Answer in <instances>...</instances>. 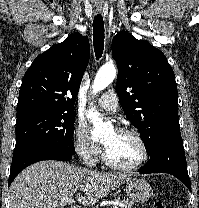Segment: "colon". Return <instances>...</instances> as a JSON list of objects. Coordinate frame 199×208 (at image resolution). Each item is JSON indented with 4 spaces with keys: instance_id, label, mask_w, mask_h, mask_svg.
Wrapping results in <instances>:
<instances>
[{
    "instance_id": "1",
    "label": "colon",
    "mask_w": 199,
    "mask_h": 208,
    "mask_svg": "<svg viewBox=\"0 0 199 208\" xmlns=\"http://www.w3.org/2000/svg\"><path fill=\"white\" fill-rule=\"evenodd\" d=\"M153 208H167V206L161 201H156L153 204Z\"/></svg>"
}]
</instances>
